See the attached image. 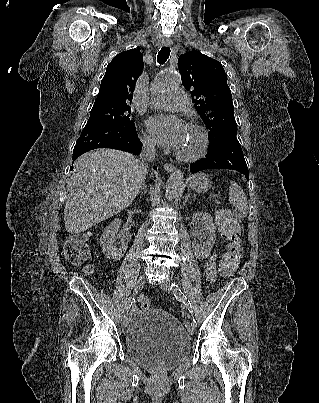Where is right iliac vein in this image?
Returning a JSON list of instances; mask_svg holds the SVG:
<instances>
[{"label":"right iliac vein","mask_w":319,"mask_h":403,"mask_svg":"<svg viewBox=\"0 0 319 403\" xmlns=\"http://www.w3.org/2000/svg\"><path fill=\"white\" fill-rule=\"evenodd\" d=\"M145 280L146 279H145L144 275H140L137 278V280L135 282V285H134V293H137L140 289H142V287L145 284ZM128 323H129V319H128V316L126 314L124 317H122V322H121L122 328H126Z\"/></svg>","instance_id":"63e3f726"}]
</instances>
